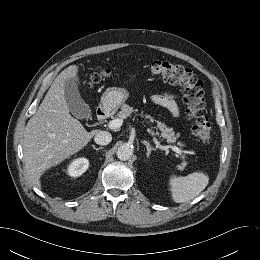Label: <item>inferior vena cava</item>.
Returning <instances> with one entry per match:
<instances>
[{
    "label": "inferior vena cava",
    "instance_id": "obj_1",
    "mask_svg": "<svg viewBox=\"0 0 260 260\" xmlns=\"http://www.w3.org/2000/svg\"><path fill=\"white\" fill-rule=\"evenodd\" d=\"M111 140L112 135L107 131H98L94 136V141L98 145H107Z\"/></svg>",
    "mask_w": 260,
    "mask_h": 260
}]
</instances>
